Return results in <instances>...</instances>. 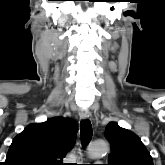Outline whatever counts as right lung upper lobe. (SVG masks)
Here are the masks:
<instances>
[{"instance_id": "obj_1", "label": "right lung upper lobe", "mask_w": 165, "mask_h": 165, "mask_svg": "<svg viewBox=\"0 0 165 165\" xmlns=\"http://www.w3.org/2000/svg\"><path fill=\"white\" fill-rule=\"evenodd\" d=\"M77 130L75 121L63 117L30 124L12 141L4 165H62Z\"/></svg>"}]
</instances>
